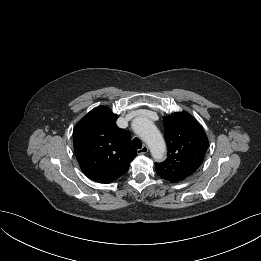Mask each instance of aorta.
<instances>
[{
  "label": "aorta",
  "instance_id": "aorta-1",
  "mask_svg": "<svg viewBox=\"0 0 261 261\" xmlns=\"http://www.w3.org/2000/svg\"><path fill=\"white\" fill-rule=\"evenodd\" d=\"M132 127L149 146L153 158L162 160L166 153V145L155 124L147 117H137L132 121Z\"/></svg>",
  "mask_w": 261,
  "mask_h": 261
}]
</instances>
